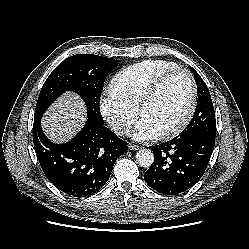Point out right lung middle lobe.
I'll use <instances>...</instances> for the list:
<instances>
[{"instance_id": "obj_1", "label": "right lung middle lobe", "mask_w": 249, "mask_h": 249, "mask_svg": "<svg viewBox=\"0 0 249 249\" xmlns=\"http://www.w3.org/2000/svg\"><path fill=\"white\" fill-rule=\"evenodd\" d=\"M119 62L93 54H78L62 61L48 76L40 91L34 120H41L47 108L62 93L73 91L85 101L88 118L103 124L100 96L107 75Z\"/></svg>"}]
</instances>
